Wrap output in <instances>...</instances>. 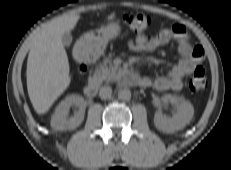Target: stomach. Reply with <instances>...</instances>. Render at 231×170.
Wrapping results in <instances>:
<instances>
[{"mask_svg":"<svg viewBox=\"0 0 231 170\" xmlns=\"http://www.w3.org/2000/svg\"><path fill=\"white\" fill-rule=\"evenodd\" d=\"M120 32L121 27L117 22H108L100 29L84 34L76 45L88 59H97L103 54L108 42L118 37Z\"/></svg>","mask_w":231,"mask_h":170,"instance_id":"stomach-1","label":"stomach"}]
</instances>
